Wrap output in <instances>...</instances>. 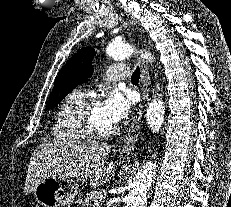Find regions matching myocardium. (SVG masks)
<instances>
[{
	"label": "myocardium",
	"mask_w": 231,
	"mask_h": 207,
	"mask_svg": "<svg viewBox=\"0 0 231 207\" xmlns=\"http://www.w3.org/2000/svg\"><path fill=\"white\" fill-rule=\"evenodd\" d=\"M100 103V98L96 95L86 97L78 106L75 112V120L85 137L93 140H102L115 135L118 127L115 125L112 129L106 131L97 130L91 120L92 108Z\"/></svg>",
	"instance_id": "1"
}]
</instances>
